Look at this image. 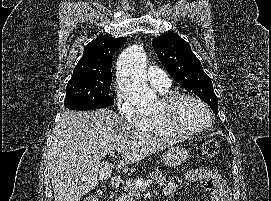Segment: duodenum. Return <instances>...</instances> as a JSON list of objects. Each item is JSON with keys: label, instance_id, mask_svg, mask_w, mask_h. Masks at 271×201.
Listing matches in <instances>:
<instances>
[{"label": "duodenum", "instance_id": "1", "mask_svg": "<svg viewBox=\"0 0 271 201\" xmlns=\"http://www.w3.org/2000/svg\"><path fill=\"white\" fill-rule=\"evenodd\" d=\"M121 182H122V179H121L120 175H116L110 180L108 186L110 189H115L118 186H120Z\"/></svg>", "mask_w": 271, "mask_h": 201}]
</instances>
